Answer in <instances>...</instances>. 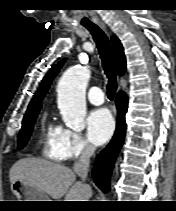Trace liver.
Returning a JSON list of instances; mask_svg holds the SVG:
<instances>
[{
	"instance_id": "1",
	"label": "liver",
	"mask_w": 176,
	"mask_h": 211,
	"mask_svg": "<svg viewBox=\"0 0 176 211\" xmlns=\"http://www.w3.org/2000/svg\"><path fill=\"white\" fill-rule=\"evenodd\" d=\"M9 179L35 186L53 199L65 196V201H89L92 196L91 187L76 181L69 167L40 158L18 160L10 169Z\"/></svg>"
}]
</instances>
